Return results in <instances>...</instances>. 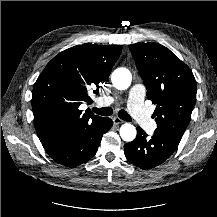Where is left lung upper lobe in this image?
Returning a JSON list of instances; mask_svg holds the SVG:
<instances>
[{
  "label": "left lung upper lobe",
  "instance_id": "5c2ea615",
  "mask_svg": "<svg viewBox=\"0 0 217 217\" xmlns=\"http://www.w3.org/2000/svg\"><path fill=\"white\" fill-rule=\"evenodd\" d=\"M147 89L156 104L152 115L157 128L182 138L196 102V80L189 67L158 43L129 46Z\"/></svg>",
  "mask_w": 217,
  "mask_h": 217
}]
</instances>
